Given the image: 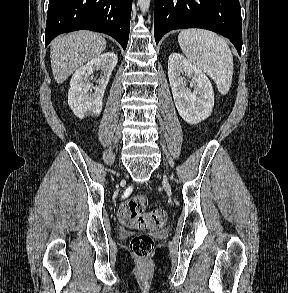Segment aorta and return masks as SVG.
Returning <instances> with one entry per match:
<instances>
[{"mask_svg": "<svg viewBox=\"0 0 288 293\" xmlns=\"http://www.w3.org/2000/svg\"><path fill=\"white\" fill-rule=\"evenodd\" d=\"M150 1L151 0H138V6L143 14L149 10Z\"/></svg>", "mask_w": 288, "mask_h": 293, "instance_id": "762f6f07", "label": "aorta"}]
</instances>
